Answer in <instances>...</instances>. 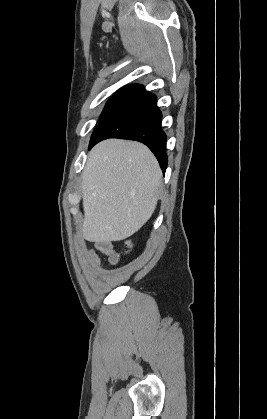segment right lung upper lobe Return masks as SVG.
Instances as JSON below:
<instances>
[{"label":"right lung upper lobe","instance_id":"cb5924a9","mask_svg":"<svg viewBox=\"0 0 267 419\" xmlns=\"http://www.w3.org/2000/svg\"><path fill=\"white\" fill-rule=\"evenodd\" d=\"M141 85H129V86H125L121 89L118 90V93H126L129 94L133 91H135L136 89H138Z\"/></svg>","mask_w":267,"mask_h":419}]
</instances>
